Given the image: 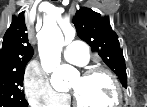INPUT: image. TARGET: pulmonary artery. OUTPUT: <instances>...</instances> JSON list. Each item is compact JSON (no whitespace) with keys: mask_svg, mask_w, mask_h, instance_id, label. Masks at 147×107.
I'll use <instances>...</instances> for the list:
<instances>
[{"mask_svg":"<svg viewBox=\"0 0 147 107\" xmlns=\"http://www.w3.org/2000/svg\"><path fill=\"white\" fill-rule=\"evenodd\" d=\"M64 58L75 65H86L89 61V48L85 43L74 41L64 50Z\"/></svg>","mask_w":147,"mask_h":107,"instance_id":"obj_1","label":"pulmonary artery"}]
</instances>
